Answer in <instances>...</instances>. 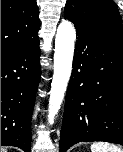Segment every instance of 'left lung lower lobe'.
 I'll list each match as a JSON object with an SVG mask.
<instances>
[{
    "label": "left lung lower lobe",
    "mask_w": 123,
    "mask_h": 152,
    "mask_svg": "<svg viewBox=\"0 0 123 152\" xmlns=\"http://www.w3.org/2000/svg\"><path fill=\"white\" fill-rule=\"evenodd\" d=\"M76 27L73 70L61 128L60 152L83 141L123 145V44L65 16Z\"/></svg>",
    "instance_id": "1"
}]
</instances>
